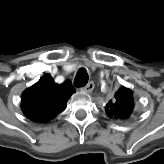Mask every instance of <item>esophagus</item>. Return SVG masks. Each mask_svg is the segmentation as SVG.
<instances>
[{"label": "esophagus", "instance_id": "34e87169", "mask_svg": "<svg viewBox=\"0 0 164 164\" xmlns=\"http://www.w3.org/2000/svg\"><path fill=\"white\" fill-rule=\"evenodd\" d=\"M94 82H89L84 88H83V91L86 92V93H91L94 89Z\"/></svg>", "mask_w": 164, "mask_h": 164}]
</instances>
